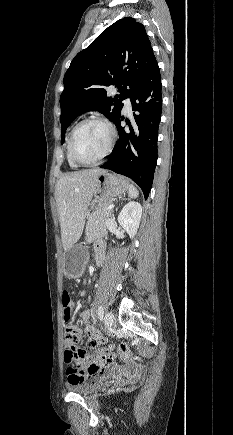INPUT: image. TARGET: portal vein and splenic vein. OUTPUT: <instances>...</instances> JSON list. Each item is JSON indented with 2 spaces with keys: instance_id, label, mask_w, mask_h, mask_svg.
Instances as JSON below:
<instances>
[{
  "instance_id": "obj_1",
  "label": "portal vein and splenic vein",
  "mask_w": 233,
  "mask_h": 435,
  "mask_svg": "<svg viewBox=\"0 0 233 435\" xmlns=\"http://www.w3.org/2000/svg\"><path fill=\"white\" fill-rule=\"evenodd\" d=\"M114 207H115V205L111 204V205L108 206V210L113 209Z\"/></svg>"
}]
</instances>
